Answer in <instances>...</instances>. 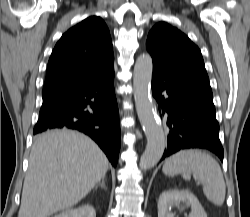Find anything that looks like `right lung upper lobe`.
<instances>
[{"label":"right lung upper lobe","instance_id":"cb5924a9","mask_svg":"<svg viewBox=\"0 0 250 217\" xmlns=\"http://www.w3.org/2000/svg\"><path fill=\"white\" fill-rule=\"evenodd\" d=\"M112 68L109 29L100 17H88L57 42L48 62L42 97L90 83Z\"/></svg>","mask_w":250,"mask_h":217}]
</instances>
